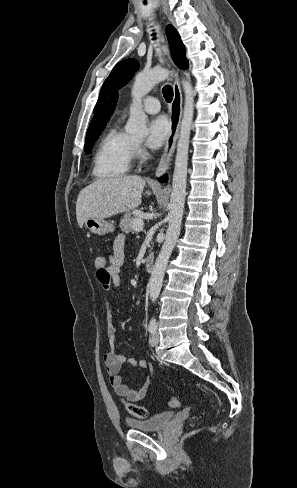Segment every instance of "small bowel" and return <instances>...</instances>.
<instances>
[{"label":"small bowel","instance_id":"c3829d8e","mask_svg":"<svg viewBox=\"0 0 297 488\" xmlns=\"http://www.w3.org/2000/svg\"><path fill=\"white\" fill-rule=\"evenodd\" d=\"M125 235L119 234L113 242L112 252L107 258L103 271L97 270V280L101 287L108 291L111 287H120L122 280L120 269L125 260ZM105 316L107 322V336L111 350L104 355V365L109 375L110 385L114 392L131 402L141 401L150 386V379L147 378L143 385L137 389H131L120 375L122 365L127 363L140 368H147L148 362L145 359L126 357L115 349L116 329L113 326V311L110 300L105 302Z\"/></svg>","mask_w":297,"mask_h":488}]
</instances>
